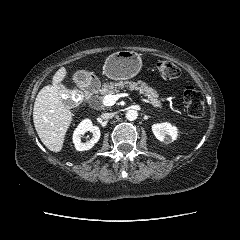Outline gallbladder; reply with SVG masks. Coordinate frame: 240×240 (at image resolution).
Returning a JSON list of instances; mask_svg holds the SVG:
<instances>
[{"label": "gallbladder", "instance_id": "obj_1", "mask_svg": "<svg viewBox=\"0 0 240 240\" xmlns=\"http://www.w3.org/2000/svg\"><path fill=\"white\" fill-rule=\"evenodd\" d=\"M59 87H60L61 89L63 88V86H62L61 84L59 85ZM67 94H68L69 97L64 100V104L67 105V106H69V105L72 104V100H71V98H70L71 92H68Z\"/></svg>", "mask_w": 240, "mask_h": 240}]
</instances>
